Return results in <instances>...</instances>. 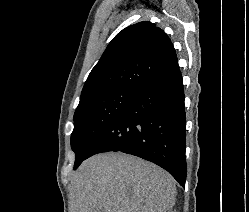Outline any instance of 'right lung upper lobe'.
Instances as JSON below:
<instances>
[{"mask_svg": "<svg viewBox=\"0 0 249 212\" xmlns=\"http://www.w3.org/2000/svg\"><path fill=\"white\" fill-rule=\"evenodd\" d=\"M179 69L167 34L147 21L131 25L109 43L89 74L80 103L115 91L141 92Z\"/></svg>", "mask_w": 249, "mask_h": 212, "instance_id": "cb5924a9", "label": "right lung upper lobe"}]
</instances>
